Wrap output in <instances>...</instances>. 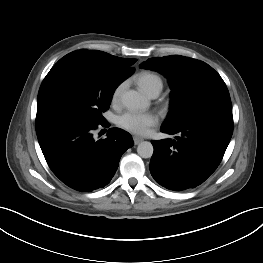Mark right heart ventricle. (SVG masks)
Listing matches in <instances>:
<instances>
[{"label":"right heart ventricle","instance_id":"1","mask_svg":"<svg viewBox=\"0 0 263 263\" xmlns=\"http://www.w3.org/2000/svg\"><path fill=\"white\" fill-rule=\"evenodd\" d=\"M139 87L148 93L153 87L159 86L162 88V81L159 76L151 72H141L137 76Z\"/></svg>","mask_w":263,"mask_h":263}]
</instances>
